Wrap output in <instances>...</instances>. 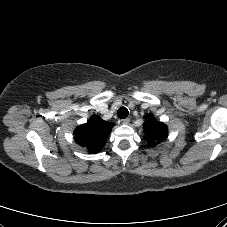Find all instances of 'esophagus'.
<instances>
[{
    "label": "esophagus",
    "mask_w": 227,
    "mask_h": 227,
    "mask_svg": "<svg viewBox=\"0 0 227 227\" xmlns=\"http://www.w3.org/2000/svg\"><path fill=\"white\" fill-rule=\"evenodd\" d=\"M122 124H128L130 122L129 118H125L121 120Z\"/></svg>",
    "instance_id": "1"
}]
</instances>
